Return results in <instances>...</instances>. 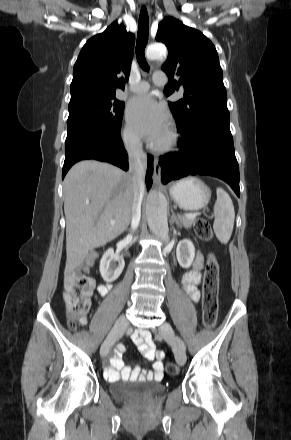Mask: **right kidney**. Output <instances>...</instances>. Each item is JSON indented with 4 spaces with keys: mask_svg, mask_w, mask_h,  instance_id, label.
Wrapping results in <instances>:
<instances>
[{
    "mask_svg": "<svg viewBox=\"0 0 291 440\" xmlns=\"http://www.w3.org/2000/svg\"><path fill=\"white\" fill-rule=\"evenodd\" d=\"M125 266L124 259L118 254L114 253L112 248H109L100 260V273L104 281L112 282L116 280L122 273Z\"/></svg>",
    "mask_w": 291,
    "mask_h": 440,
    "instance_id": "ca27d5eb",
    "label": "right kidney"
}]
</instances>
